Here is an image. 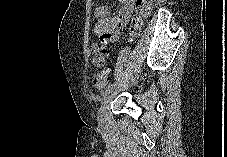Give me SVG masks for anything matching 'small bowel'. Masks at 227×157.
<instances>
[{
    "mask_svg": "<svg viewBox=\"0 0 227 157\" xmlns=\"http://www.w3.org/2000/svg\"><path fill=\"white\" fill-rule=\"evenodd\" d=\"M120 9L117 15H112L107 5H100L94 10L96 23L94 25L95 34L99 35L105 42L117 41L119 31L124 28L134 10L136 0H119Z\"/></svg>",
    "mask_w": 227,
    "mask_h": 157,
    "instance_id": "1",
    "label": "small bowel"
}]
</instances>
